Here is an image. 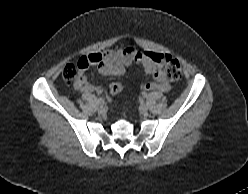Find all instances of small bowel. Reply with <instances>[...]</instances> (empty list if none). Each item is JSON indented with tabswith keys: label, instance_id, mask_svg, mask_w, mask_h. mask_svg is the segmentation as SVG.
Returning a JSON list of instances; mask_svg holds the SVG:
<instances>
[{
	"label": "small bowel",
	"instance_id": "small-bowel-1",
	"mask_svg": "<svg viewBox=\"0 0 248 194\" xmlns=\"http://www.w3.org/2000/svg\"><path fill=\"white\" fill-rule=\"evenodd\" d=\"M157 53L151 51H138L134 47L106 50L102 53L91 54L97 59L98 71L103 75L121 76L125 73L126 67L135 63L142 67L145 73L154 77V82L146 83L142 86L144 91L158 90L168 92L171 88L169 80L165 77L163 69L153 60V55ZM75 88L81 92H98L101 87L88 82V75L81 72L75 82Z\"/></svg>",
	"mask_w": 248,
	"mask_h": 194
}]
</instances>
